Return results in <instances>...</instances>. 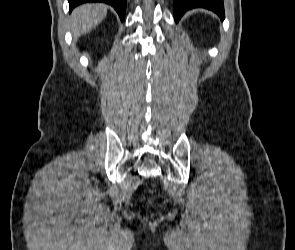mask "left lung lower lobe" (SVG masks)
I'll list each match as a JSON object with an SVG mask.
<instances>
[{"mask_svg":"<svg viewBox=\"0 0 295 250\" xmlns=\"http://www.w3.org/2000/svg\"><path fill=\"white\" fill-rule=\"evenodd\" d=\"M197 7L212 10L222 20L225 17L223 0H174L175 21L178 22L187 10Z\"/></svg>","mask_w":295,"mask_h":250,"instance_id":"1","label":"left lung lower lobe"}]
</instances>
